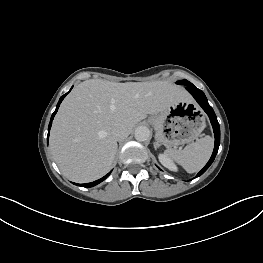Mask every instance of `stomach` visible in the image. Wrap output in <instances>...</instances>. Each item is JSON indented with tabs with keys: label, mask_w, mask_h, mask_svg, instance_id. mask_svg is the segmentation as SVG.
<instances>
[{
	"label": "stomach",
	"mask_w": 263,
	"mask_h": 263,
	"mask_svg": "<svg viewBox=\"0 0 263 263\" xmlns=\"http://www.w3.org/2000/svg\"><path fill=\"white\" fill-rule=\"evenodd\" d=\"M148 121L155 129L157 143L166 147L192 142L205 128L204 115L189 98L170 105Z\"/></svg>",
	"instance_id": "1"
}]
</instances>
